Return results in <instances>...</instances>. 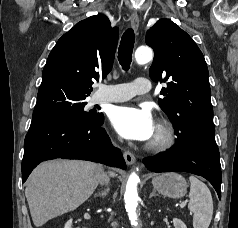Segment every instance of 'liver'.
Instances as JSON below:
<instances>
[{
	"label": "liver",
	"instance_id": "1",
	"mask_svg": "<svg viewBox=\"0 0 238 228\" xmlns=\"http://www.w3.org/2000/svg\"><path fill=\"white\" fill-rule=\"evenodd\" d=\"M101 173V165L88 161L53 160L38 165L25 189L34 225L41 227L78 208L95 191Z\"/></svg>",
	"mask_w": 238,
	"mask_h": 228
}]
</instances>
